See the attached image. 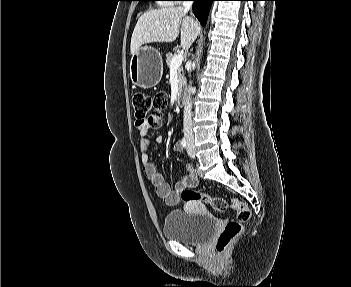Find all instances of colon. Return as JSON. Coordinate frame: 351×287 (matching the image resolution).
I'll return each instance as SVG.
<instances>
[{"mask_svg":"<svg viewBox=\"0 0 351 287\" xmlns=\"http://www.w3.org/2000/svg\"><path fill=\"white\" fill-rule=\"evenodd\" d=\"M167 95L164 92H157L153 95L143 92L133 94L132 103L135 110L136 120H149V126L158 128L162 124L163 112L167 106ZM181 197L187 201L200 200L210 204L215 210L224 212L228 209L237 211V218L226 223L216 241V250L223 252L241 234L243 225L250 219L251 212L248 206L238 200L230 202L219 197H208L205 194L197 193L189 188L181 192Z\"/></svg>","mask_w":351,"mask_h":287,"instance_id":"colon-1","label":"colon"}]
</instances>
